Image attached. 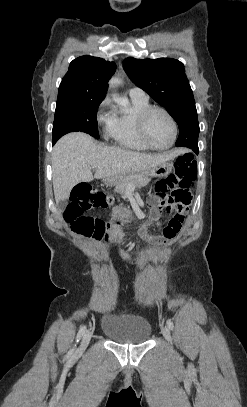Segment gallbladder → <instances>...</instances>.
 I'll return each instance as SVG.
<instances>
[{"mask_svg": "<svg viewBox=\"0 0 247 407\" xmlns=\"http://www.w3.org/2000/svg\"><path fill=\"white\" fill-rule=\"evenodd\" d=\"M58 207L60 210H64L66 207V202L65 201H60L58 204Z\"/></svg>", "mask_w": 247, "mask_h": 407, "instance_id": "gallbladder-1", "label": "gallbladder"}]
</instances>
